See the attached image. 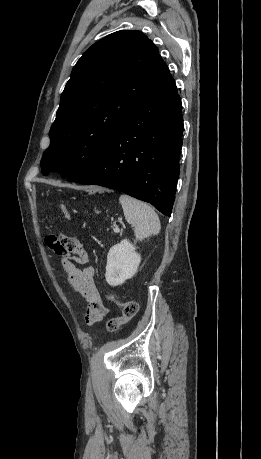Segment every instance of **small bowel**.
<instances>
[{
	"instance_id": "c3829d8e",
	"label": "small bowel",
	"mask_w": 261,
	"mask_h": 459,
	"mask_svg": "<svg viewBox=\"0 0 261 459\" xmlns=\"http://www.w3.org/2000/svg\"><path fill=\"white\" fill-rule=\"evenodd\" d=\"M46 245L61 257L62 267L69 284L87 302L85 323L92 326L100 322L107 315L108 309L103 304L95 284L94 268L92 266L78 267L89 261L88 253L80 241L67 235H49L46 237Z\"/></svg>"
}]
</instances>
